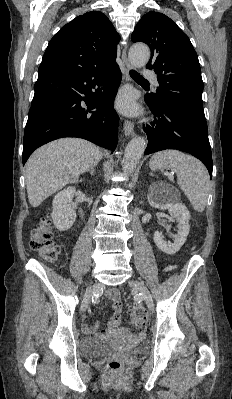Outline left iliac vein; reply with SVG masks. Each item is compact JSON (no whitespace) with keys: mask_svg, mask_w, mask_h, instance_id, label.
Segmentation results:
<instances>
[{"mask_svg":"<svg viewBox=\"0 0 232 399\" xmlns=\"http://www.w3.org/2000/svg\"><path fill=\"white\" fill-rule=\"evenodd\" d=\"M129 286L131 289H134V291H138L143 293L145 303H147V309L148 310H153L154 309V300H152V296L150 294V291H148V288L145 287L144 283H139L138 281H130Z\"/></svg>","mask_w":232,"mask_h":399,"instance_id":"1","label":"left iliac vein"}]
</instances>
